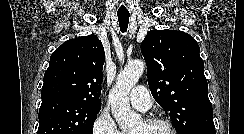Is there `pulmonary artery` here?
<instances>
[{
	"mask_svg": "<svg viewBox=\"0 0 244 134\" xmlns=\"http://www.w3.org/2000/svg\"><path fill=\"white\" fill-rule=\"evenodd\" d=\"M129 100L131 105L142 112L147 111L152 105L151 96L146 87L139 85L132 89Z\"/></svg>",
	"mask_w": 244,
	"mask_h": 134,
	"instance_id": "pulmonary-artery-1",
	"label": "pulmonary artery"
}]
</instances>
